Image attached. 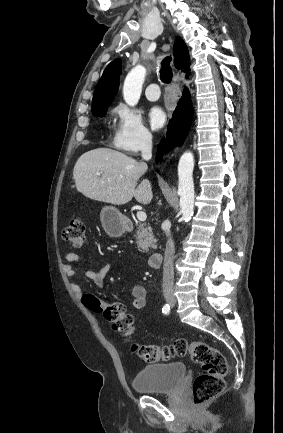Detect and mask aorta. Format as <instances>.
Returning <instances> with one entry per match:
<instances>
[{
	"label": "aorta",
	"instance_id": "1",
	"mask_svg": "<svg viewBox=\"0 0 283 433\" xmlns=\"http://www.w3.org/2000/svg\"><path fill=\"white\" fill-rule=\"evenodd\" d=\"M146 69L142 65L134 67L126 76L123 85V97L130 106H135L141 96L145 80ZM194 156L185 152L178 163V194L180 196L181 219L190 221L194 210V182H193Z\"/></svg>",
	"mask_w": 283,
	"mask_h": 433
}]
</instances>
